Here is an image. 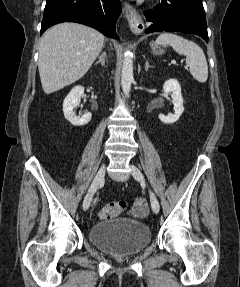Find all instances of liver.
Instances as JSON below:
<instances>
[{
  "label": "liver",
  "mask_w": 240,
  "mask_h": 287,
  "mask_svg": "<svg viewBox=\"0 0 240 287\" xmlns=\"http://www.w3.org/2000/svg\"><path fill=\"white\" fill-rule=\"evenodd\" d=\"M104 36L77 23H61L43 35L38 69L43 91L56 92L82 78L98 57Z\"/></svg>",
  "instance_id": "1"
}]
</instances>
